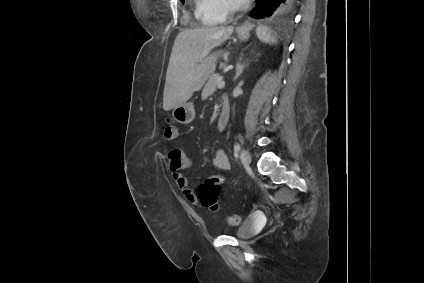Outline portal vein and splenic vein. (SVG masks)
I'll list each match as a JSON object with an SVG mask.
<instances>
[{
	"instance_id": "portal-vein-and-splenic-vein-1",
	"label": "portal vein and splenic vein",
	"mask_w": 424,
	"mask_h": 283,
	"mask_svg": "<svg viewBox=\"0 0 424 283\" xmlns=\"http://www.w3.org/2000/svg\"><path fill=\"white\" fill-rule=\"evenodd\" d=\"M208 53H209V51H208V50H205V51L203 52V56H206ZM224 85H225V82H224L223 80L219 79V80H218V85H217V87H218V88H222V87H224Z\"/></svg>"
}]
</instances>
